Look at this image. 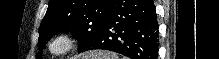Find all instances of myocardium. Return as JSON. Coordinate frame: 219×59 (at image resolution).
<instances>
[{
    "instance_id": "obj_1",
    "label": "myocardium",
    "mask_w": 219,
    "mask_h": 59,
    "mask_svg": "<svg viewBox=\"0 0 219 59\" xmlns=\"http://www.w3.org/2000/svg\"><path fill=\"white\" fill-rule=\"evenodd\" d=\"M77 44L74 35L61 32L52 36L46 43L48 53L54 57H63L71 53Z\"/></svg>"
}]
</instances>
